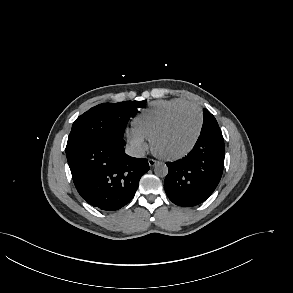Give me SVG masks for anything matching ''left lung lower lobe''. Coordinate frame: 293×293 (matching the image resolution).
Returning <instances> with one entry per match:
<instances>
[{
  "instance_id": "0a47b994",
  "label": "left lung lower lobe",
  "mask_w": 293,
  "mask_h": 293,
  "mask_svg": "<svg viewBox=\"0 0 293 293\" xmlns=\"http://www.w3.org/2000/svg\"><path fill=\"white\" fill-rule=\"evenodd\" d=\"M224 139L219 127L201 130L190 153L168 162L164 188L176 205L191 207L204 202L217 187L224 167Z\"/></svg>"
}]
</instances>
